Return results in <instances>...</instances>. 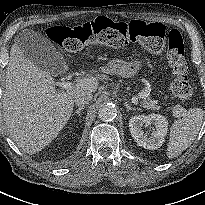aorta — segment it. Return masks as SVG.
I'll use <instances>...</instances> for the list:
<instances>
[{
	"mask_svg": "<svg viewBox=\"0 0 205 205\" xmlns=\"http://www.w3.org/2000/svg\"><path fill=\"white\" fill-rule=\"evenodd\" d=\"M116 109L113 105H105L99 109L98 116L102 121H112L116 117Z\"/></svg>",
	"mask_w": 205,
	"mask_h": 205,
	"instance_id": "obj_1",
	"label": "aorta"
}]
</instances>
